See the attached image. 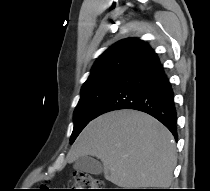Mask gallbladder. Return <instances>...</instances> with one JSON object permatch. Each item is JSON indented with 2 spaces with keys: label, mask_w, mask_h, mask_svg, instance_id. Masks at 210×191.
Listing matches in <instances>:
<instances>
[{
  "label": "gallbladder",
  "mask_w": 210,
  "mask_h": 191,
  "mask_svg": "<svg viewBox=\"0 0 210 191\" xmlns=\"http://www.w3.org/2000/svg\"><path fill=\"white\" fill-rule=\"evenodd\" d=\"M73 168L80 172H86L95 175L101 174L103 171L102 164L91 156L79 157L75 161Z\"/></svg>",
  "instance_id": "gallbladder-1"
}]
</instances>
